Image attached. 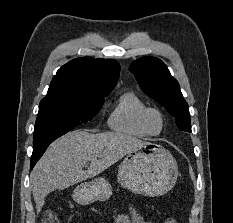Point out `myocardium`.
<instances>
[{
    "label": "myocardium",
    "instance_id": "myocardium-1",
    "mask_svg": "<svg viewBox=\"0 0 233 223\" xmlns=\"http://www.w3.org/2000/svg\"><path fill=\"white\" fill-rule=\"evenodd\" d=\"M152 113H158L163 120V129L159 133H153L149 127V116ZM141 125L144 131L150 136H160L162 135L167 127V118L164 111L158 107H146L141 114Z\"/></svg>",
    "mask_w": 233,
    "mask_h": 223
}]
</instances>
